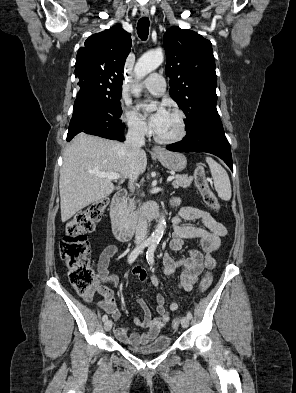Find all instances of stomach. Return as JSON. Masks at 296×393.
<instances>
[{
  "label": "stomach",
  "instance_id": "stomach-1",
  "mask_svg": "<svg viewBox=\"0 0 296 393\" xmlns=\"http://www.w3.org/2000/svg\"><path fill=\"white\" fill-rule=\"evenodd\" d=\"M156 156L162 166L168 170L180 172L186 168L187 160L181 153L162 151Z\"/></svg>",
  "mask_w": 296,
  "mask_h": 393
}]
</instances>
